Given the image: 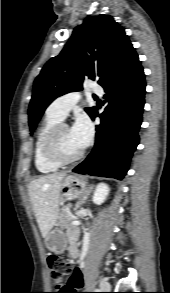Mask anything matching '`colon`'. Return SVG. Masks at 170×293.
<instances>
[{
	"label": "colon",
	"mask_w": 170,
	"mask_h": 293,
	"mask_svg": "<svg viewBox=\"0 0 170 293\" xmlns=\"http://www.w3.org/2000/svg\"><path fill=\"white\" fill-rule=\"evenodd\" d=\"M48 265L51 271V279L55 286L51 293H72L71 288L66 283V278L70 274L68 264L58 256H49ZM70 282L69 285L71 284Z\"/></svg>",
	"instance_id": "1"
}]
</instances>
